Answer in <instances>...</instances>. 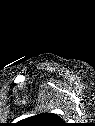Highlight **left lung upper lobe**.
Here are the masks:
<instances>
[{
  "mask_svg": "<svg viewBox=\"0 0 95 126\" xmlns=\"http://www.w3.org/2000/svg\"><path fill=\"white\" fill-rule=\"evenodd\" d=\"M31 126H59L61 119L54 113H41L24 120Z\"/></svg>",
  "mask_w": 95,
  "mask_h": 126,
  "instance_id": "obj_1",
  "label": "left lung upper lobe"
}]
</instances>
